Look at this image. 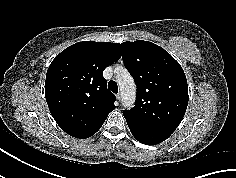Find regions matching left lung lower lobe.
I'll use <instances>...</instances> for the list:
<instances>
[{"mask_svg": "<svg viewBox=\"0 0 236 178\" xmlns=\"http://www.w3.org/2000/svg\"><path fill=\"white\" fill-rule=\"evenodd\" d=\"M127 124L133 136L143 144L155 145L163 142L171 135L170 133L155 131L130 122H127Z\"/></svg>", "mask_w": 236, "mask_h": 178, "instance_id": "1", "label": "left lung lower lobe"}]
</instances>
